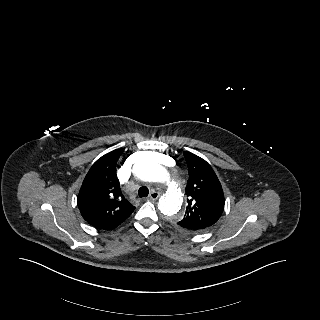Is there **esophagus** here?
Instances as JSON below:
<instances>
[{
	"mask_svg": "<svg viewBox=\"0 0 320 320\" xmlns=\"http://www.w3.org/2000/svg\"><path fill=\"white\" fill-rule=\"evenodd\" d=\"M160 194L156 191H152L148 197L149 200H156L158 199Z\"/></svg>",
	"mask_w": 320,
	"mask_h": 320,
	"instance_id": "esophagus-1",
	"label": "esophagus"
}]
</instances>
